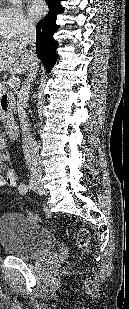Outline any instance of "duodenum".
Segmentation results:
<instances>
[{
  "instance_id": "duodenum-1",
  "label": "duodenum",
  "mask_w": 129,
  "mask_h": 309,
  "mask_svg": "<svg viewBox=\"0 0 129 309\" xmlns=\"http://www.w3.org/2000/svg\"><path fill=\"white\" fill-rule=\"evenodd\" d=\"M1 108L5 113H8L10 109V104L2 101ZM4 127H5V132L9 138L11 139L16 138L18 134V124L14 117L8 116L5 121Z\"/></svg>"
}]
</instances>
